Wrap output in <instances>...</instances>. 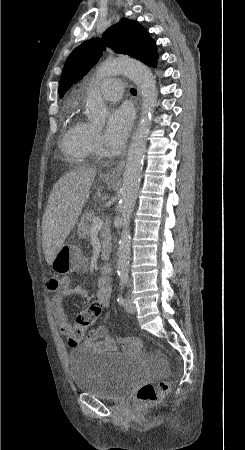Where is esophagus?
<instances>
[{
    "label": "esophagus",
    "mask_w": 245,
    "mask_h": 450,
    "mask_svg": "<svg viewBox=\"0 0 245 450\" xmlns=\"http://www.w3.org/2000/svg\"><path fill=\"white\" fill-rule=\"evenodd\" d=\"M138 100L140 101V93H138ZM124 166H125V159L123 158L112 170L105 173L103 178L105 180L119 179L123 172Z\"/></svg>",
    "instance_id": "1"
}]
</instances>
